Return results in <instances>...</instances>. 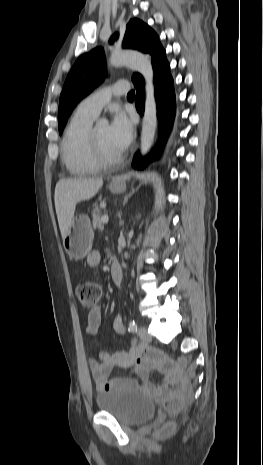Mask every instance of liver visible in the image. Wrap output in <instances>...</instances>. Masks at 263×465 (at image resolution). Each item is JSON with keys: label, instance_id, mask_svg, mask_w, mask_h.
Instances as JSON below:
<instances>
[{"label": "liver", "instance_id": "liver-1", "mask_svg": "<svg viewBox=\"0 0 263 465\" xmlns=\"http://www.w3.org/2000/svg\"><path fill=\"white\" fill-rule=\"evenodd\" d=\"M102 185V178H69L57 182L54 200L62 238L74 218L76 205L94 197Z\"/></svg>", "mask_w": 263, "mask_h": 465}]
</instances>
